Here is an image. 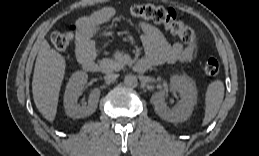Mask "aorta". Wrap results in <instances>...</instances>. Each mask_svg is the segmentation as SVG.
Masks as SVG:
<instances>
[{"instance_id": "762f6f07", "label": "aorta", "mask_w": 259, "mask_h": 156, "mask_svg": "<svg viewBox=\"0 0 259 156\" xmlns=\"http://www.w3.org/2000/svg\"><path fill=\"white\" fill-rule=\"evenodd\" d=\"M124 84L127 87L135 88L138 85V79L135 75H126L124 78Z\"/></svg>"}]
</instances>
